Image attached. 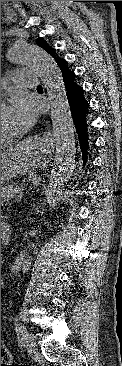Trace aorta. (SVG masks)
I'll return each instance as SVG.
<instances>
[{
	"label": "aorta",
	"instance_id": "aorta-1",
	"mask_svg": "<svg viewBox=\"0 0 122 366\" xmlns=\"http://www.w3.org/2000/svg\"><path fill=\"white\" fill-rule=\"evenodd\" d=\"M8 59L14 65L34 71L47 90L56 147L46 188V202L52 203L63 190L75 168V129L63 77L54 58L35 44L16 42L8 49Z\"/></svg>",
	"mask_w": 122,
	"mask_h": 366
}]
</instances>
